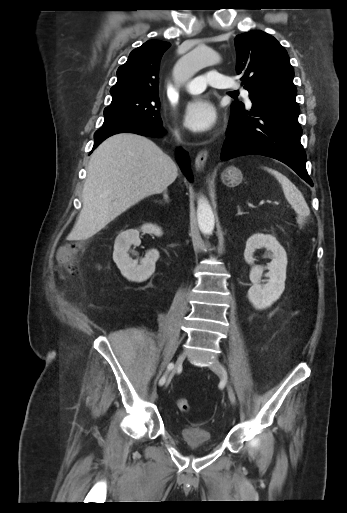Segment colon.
<instances>
[{
  "label": "colon",
  "instance_id": "obj_1",
  "mask_svg": "<svg viewBox=\"0 0 347 513\" xmlns=\"http://www.w3.org/2000/svg\"><path fill=\"white\" fill-rule=\"evenodd\" d=\"M75 247L71 245L64 246L59 253L58 264L67 272H75L74 264ZM177 408L183 412L188 413L191 409L189 401L184 397L176 399Z\"/></svg>",
  "mask_w": 347,
  "mask_h": 513
}]
</instances>
